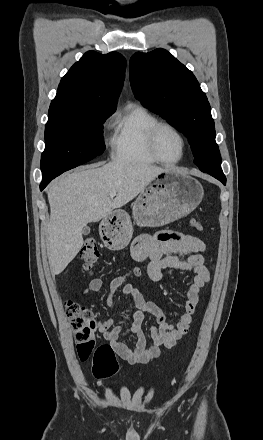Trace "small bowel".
Instances as JSON below:
<instances>
[{"mask_svg":"<svg viewBox=\"0 0 263 440\" xmlns=\"http://www.w3.org/2000/svg\"><path fill=\"white\" fill-rule=\"evenodd\" d=\"M205 250L206 245L199 238L174 231L142 234L135 238L131 246L132 258L138 262L149 260L147 275L152 281L161 282L164 279V269L191 272L192 281L187 290L183 312L176 323L167 320L157 302L147 301L132 283H128L126 275H119L110 281L106 304L113 306L115 294L121 289L124 296L133 300L137 309L133 314L132 324L125 330L115 325L112 318L98 321L99 332L118 356L131 364H146L159 357L162 348H172L187 333L199 303L200 291L210 279L201 254ZM179 255L185 258H180ZM103 286L104 281L101 278L93 277L84 292H98ZM146 314L155 319V324L150 329L151 344H148L142 328ZM130 334L136 336L132 347L121 341L122 337Z\"/></svg>","mask_w":263,"mask_h":440,"instance_id":"obj_1","label":"small bowel"}]
</instances>
